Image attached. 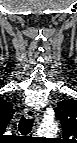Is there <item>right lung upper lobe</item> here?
Returning <instances> with one entry per match:
<instances>
[{
  "mask_svg": "<svg viewBox=\"0 0 77 143\" xmlns=\"http://www.w3.org/2000/svg\"><path fill=\"white\" fill-rule=\"evenodd\" d=\"M14 109L12 105L4 99H0V128L5 130L6 125L12 119Z\"/></svg>",
  "mask_w": 77,
  "mask_h": 143,
  "instance_id": "cb5924a9",
  "label": "right lung upper lobe"
}]
</instances>
